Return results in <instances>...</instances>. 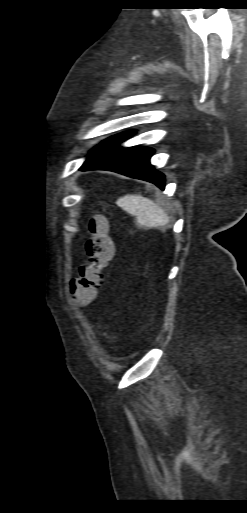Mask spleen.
I'll return each instance as SVG.
<instances>
[{"mask_svg": "<svg viewBox=\"0 0 247 513\" xmlns=\"http://www.w3.org/2000/svg\"><path fill=\"white\" fill-rule=\"evenodd\" d=\"M117 205L136 216L137 222L145 227H157L167 223L168 217L156 202L140 195L128 194L117 200Z\"/></svg>", "mask_w": 247, "mask_h": 513, "instance_id": "3e777b00", "label": "spleen"}]
</instances>
